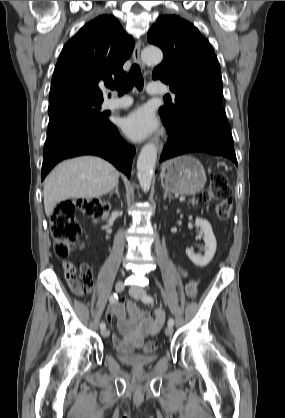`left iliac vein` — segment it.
I'll return each instance as SVG.
<instances>
[{
  "label": "left iliac vein",
  "instance_id": "1",
  "mask_svg": "<svg viewBox=\"0 0 285 418\" xmlns=\"http://www.w3.org/2000/svg\"><path fill=\"white\" fill-rule=\"evenodd\" d=\"M130 295L135 298V299H142L143 297H145L147 295L146 291L142 288V287H132L129 290ZM173 333V327L167 326L165 329V334L167 336L172 335Z\"/></svg>",
  "mask_w": 285,
  "mask_h": 418
}]
</instances>
